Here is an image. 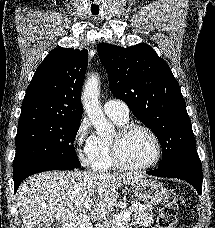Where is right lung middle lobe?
<instances>
[{"label":"right lung middle lobe","mask_w":215,"mask_h":228,"mask_svg":"<svg viewBox=\"0 0 215 228\" xmlns=\"http://www.w3.org/2000/svg\"><path fill=\"white\" fill-rule=\"evenodd\" d=\"M80 121H57L18 127L13 171L35 164L80 168L74 140Z\"/></svg>","instance_id":"dd1d6c3e"}]
</instances>
